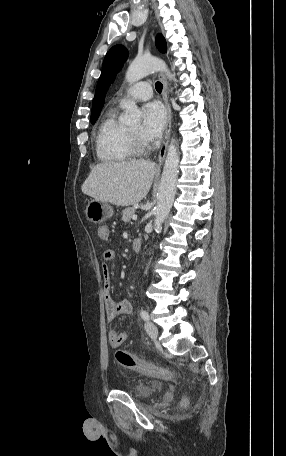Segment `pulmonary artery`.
I'll list each match as a JSON object with an SVG mask.
<instances>
[{
	"label": "pulmonary artery",
	"mask_w": 286,
	"mask_h": 456,
	"mask_svg": "<svg viewBox=\"0 0 286 456\" xmlns=\"http://www.w3.org/2000/svg\"><path fill=\"white\" fill-rule=\"evenodd\" d=\"M152 97V88L147 82H139L133 85L126 93L124 97L119 100V104H122L126 98H130L134 101H145Z\"/></svg>",
	"instance_id": "pulmonary-artery-1"
}]
</instances>
